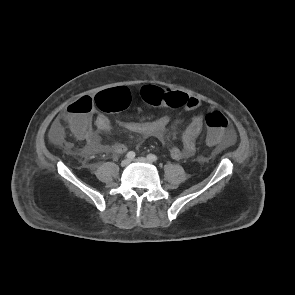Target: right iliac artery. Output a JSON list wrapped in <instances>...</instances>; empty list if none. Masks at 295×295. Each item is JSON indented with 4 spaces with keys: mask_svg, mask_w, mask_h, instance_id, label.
Returning a JSON list of instances; mask_svg holds the SVG:
<instances>
[{
    "mask_svg": "<svg viewBox=\"0 0 295 295\" xmlns=\"http://www.w3.org/2000/svg\"><path fill=\"white\" fill-rule=\"evenodd\" d=\"M126 157L130 160L134 159L135 158V152L133 151H129L126 155Z\"/></svg>",
    "mask_w": 295,
    "mask_h": 295,
    "instance_id": "right-iliac-artery-1",
    "label": "right iliac artery"
}]
</instances>
